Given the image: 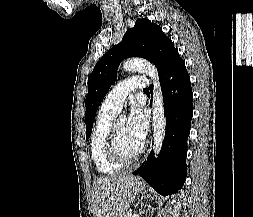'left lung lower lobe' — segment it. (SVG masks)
Segmentation results:
<instances>
[{
	"instance_id": "0a47b994",
	"label": "left lung lower lobe",
	"mask_w": 253,
	"mask_h": 217,
	"mask_svg": "<svg viewBox=\"0 0 253 217\" xmlns=\"http://www.w3.org/2000/svg\"><path fill=\"white\" fill-rule=\"evenodd\" d=\"M162 88L166 132L159 158L151 151L147 160L133 172L161 195L177 192L187 175V138L193 115L190 77L185 63L176 55L159 75ZM151 92L153 86L150 87Z\"/></svg>"
}]
</instances>
